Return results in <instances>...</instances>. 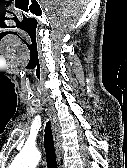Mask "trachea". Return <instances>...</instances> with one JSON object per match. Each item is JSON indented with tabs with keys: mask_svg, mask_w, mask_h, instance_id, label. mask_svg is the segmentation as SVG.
Returning <instances> with one entry per match:
<instances>
[{
	"mask_svg": "<svg viewBox=\"0 0 127 168\" xmlns=\"http://www.w3.org/2000/svg\"><path fill=\"white\" fill-rule=\"evenodd\" d=\"M44 147L46 151L47 167L57 168L54 139H53L52 129L49 121L46 123V126H45Z\"/></svg>",
	"mask_w": 127,
	"mask_h": 168,
	"instance_id": "trachea-1",
	"label": "trachea"
}]
</instances>
